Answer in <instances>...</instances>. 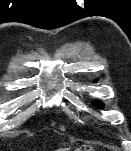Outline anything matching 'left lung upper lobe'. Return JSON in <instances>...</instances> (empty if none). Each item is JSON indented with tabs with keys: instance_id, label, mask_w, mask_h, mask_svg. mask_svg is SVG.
<instances>
[{
	"instance_id": "5c2ea615",
	"label": "left lung upper lobe",
	"mask_w": 131,
	"mask_h": 151,
	"mask_svg": "<svg viewBox=\"0 0 131 151\" xmlns=\"http://www.w3.org/2000/svg\"><path fill=\"white\" fill-rule=\"evenodd\" d=\"M96 107H102V103L100 102V101H98V100H95V101H93L92 102Z\"/></svg>"
}]
</instances>
